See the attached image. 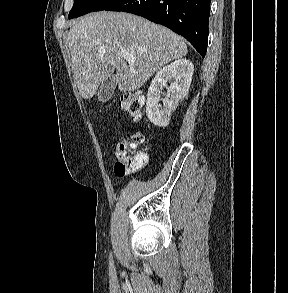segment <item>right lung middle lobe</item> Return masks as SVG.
Instances as JSON below:
<instances>
[{"label": "right lung middle lobe", "mask_w": 288, "mask_h": 293, "mask_svg": "<svg viewBox=\"0 0 288 293\" xmlns=\"http://www.w3.org/2000/svg\"><path fill=\"white\" fill-rule=\"evenodd\" d=\"M118 0H74L68 18H76L92 11L106 10Z\"/></svg>", "instance_id": "dd1d6c3e"}]
</instances>
